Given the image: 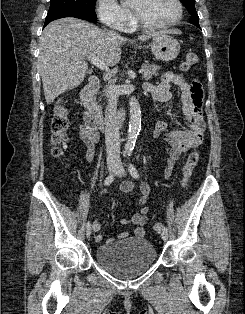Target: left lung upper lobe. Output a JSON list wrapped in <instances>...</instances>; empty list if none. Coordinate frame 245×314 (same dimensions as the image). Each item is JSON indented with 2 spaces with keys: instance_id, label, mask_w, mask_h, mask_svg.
Here are the masks:
<instances>
[{
  "instance_id": "1",
  "label": "left lung upper lobe",
  "mask_w": 245,
  "mask_h": 314,
  "mask_svg": "<svg viewBox=\"0 0 245 314\" xmlns=\"http://www.w3.org/2000/svg\"><path fill=\"white\" fill-rule=\"evenodd\" d=\"M191 15L190 22L200 28L199 17L195 9V0H180Z\"/></svg>"
}]
</instances>
